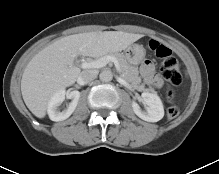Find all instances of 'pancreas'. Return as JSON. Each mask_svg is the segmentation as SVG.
<instances>
[{
	"label": "pancreas",
	"instance_id": "cf45deb5",
	"mask_svg": "<svg viewBox=\"0 0 219 174\" xmlns=\"http://www.w3.org/2000/svg\"><path fill=\"white\" fill-rule=\"evenodd\" d=\"M108 55L114 56L120 65L121 76L130 83L134 88L138 90H147L151 92H155L154 89L149 88L145 89L144 85L141 83V77L139 76L138 69L134 66H131L124 55L120 53H110Z\"/></svg>",
	"mask_w": 219,
	"mask_h": 174
}]
</instances>
